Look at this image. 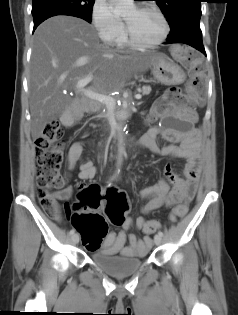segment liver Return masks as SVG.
Masks as SVG:
<instances>
[{"label":"liver","instance_id":"1","mask_svg":"<svg viewBox=\"0 0 238 315\" xmlns=\"http://www.w3.org/2000/svg\"><path fill=\"white\" fill-rule=\"evenodd\" d=\"M161 55H120L100 44L94 28L80 18L59 15L47 19L35 31L30 62L32 139L41 137L49 122L58 118L73 122L89 108L85 99L68 93H79V80L92 75L89 90L105 95L133 75L147 71Z\"/></svg>","mask_w":238,"mask_h":315}]
</instances>
